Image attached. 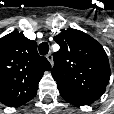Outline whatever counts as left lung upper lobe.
<instances>
[{"label":"left lung upper lobe","mask_w":114,"mask_h":114,"mask_svg":"<svg viewBox=\"0 0 114 114\" xmlns=\"http://www.w3.org/2000/svg\"><path fill=\"white\" fill-rule=\"evenodd\" d=\"M54 39L60 50L53 55L51 73L59 91L99 99L111 75L103 47L76 29L64 30Z\"/></svg>","instance_id":"obj_1"}]
</instances>
